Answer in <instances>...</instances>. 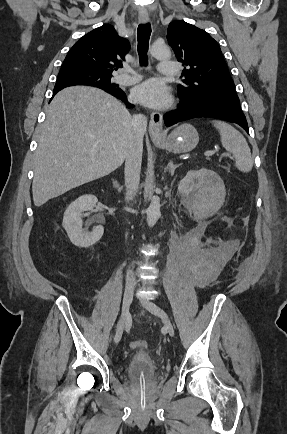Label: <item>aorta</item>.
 <instances>
[{
  "label": "aorta",
  "instance_id": "aorta-1",
  "mask_svg": "<svg viewBox=\"0 0 287 434\" xmlns=\"http://www.w3.org/2000/svg\"><path fill=\"white\" fill-rule=\"evenodd\" d=\"M150 53L153 57L164 60L169 59L171 56L170 49L165 44L154 43L150 48ZM160 199L154 196L147 209V223L149 226H154L160 218Z\"/></svg>",
  "mask_w": 287,
  "mask_h": 434
}]
</instances>
